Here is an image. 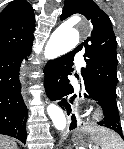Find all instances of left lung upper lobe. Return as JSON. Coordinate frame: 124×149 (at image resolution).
<instances>
[{
	"instance_id": "obj_1",
	"label": "left lung upper lobe",
	"mask_w": 124,
	"mask_h": 149,
	"mask_svg": "<svg viewBox=\"0 0 124 149\" xmlns=\"http://www.w3.org/2000/svg\"><path fill=\"white\" fill-rule=\"evenodd\" d=\"M75 13L84 15L92 24L91 35L73 50L75 54L85 50L87 66L81 69L82 77L116 96L117 42L111 21L93 0H65L60 19Z\"/></svg>"
}]
</instances>
